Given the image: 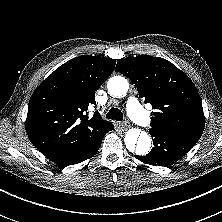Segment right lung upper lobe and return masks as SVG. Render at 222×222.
I'll return each instance as SVG.
<instances>
[{"instance_id":"cb5924a9","label":"right lung upper lobe","mask_w":222,"mask_h":222,"mask_svg":"<svg viewBox=\"0 0 222 222\" xmlns=\"http://www.w3.org/2000/svg\"><path fill=\"white\" fill-rule=\"evenodd\" d=\"M116 61L79 56L58 67L30 98L26 131L36 148L55 162L87 149L110 125L98 112L88 117L95 91L110 76Z\"/></svg>"}]
</instances>
